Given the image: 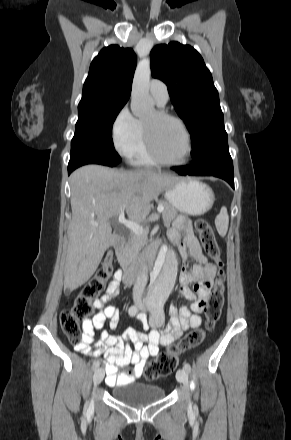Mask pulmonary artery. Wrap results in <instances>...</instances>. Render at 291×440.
I'll return each mask as SVG.
<instances>
[{
    "instance_id": "1",
    "label": "pulmonary artery",
    "mask_w": 291,
    "mask_h": 440,
    "mask_svg": "<svg viewBox=\"0 0 291 440\" xmlns=\"http://www.w3.org/2000/svg\"><path fill=\"white\" fill-rule=\"evenodd\" d=\"M150 93L156 99L159 106H163L169 99V93L166 84L157 79L150 82Z\"/></svg>"
}]
</instances>
